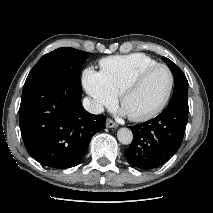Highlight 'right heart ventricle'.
I'll use <instances>...</instances> for the list:
<instances>
[{
  "instance_id": "obj_1",
  "label": "right heart ventricle",
  "mask_w": 213,
  "mask_h": 213,
  "mask_svg": "<svg viewBox=\"0 0 213 213\" xmlns=\"http://www.w3.org/2000/svg\"><path fill=\"white\" fill-rule=\"evenodd\" d=\"M158 62L142 53L116 55L100 60V73L109 89L119 95L121 89L141 70Z\"/></svg>"
}]
</instances>
